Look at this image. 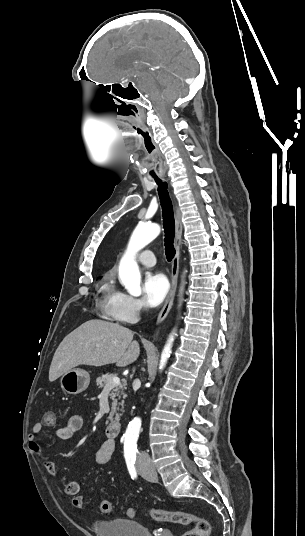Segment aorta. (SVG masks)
Returning <instances> with one entry per match:
<instances>
[{"instance_id":"1","label":"aorta","mask_w":305,"mask_h":536,"mask_svg":"<svg viewBox=\"0 0 305 536\" xmlns=\"http://www.w3.org/2000/svg\"><path fill=\"white\" fill-rule=\"evenodd\" d=\"M159 234L160 226L155 223L139 224L132 233L126 252L119 264L120 282L125 287L127 292L132 296L141 295V274L138 264L135 260L136 254L146 245L152 242ZM182 289L183 286L181 287L180 292H182ZM175 335L176 333L172 332L164 346L159 364L160 370L165 367L167 360L170 357ZM130 425L136 429H139L141 426V419L138 417L134 418Z\"/></svg>"}]
</instances>
